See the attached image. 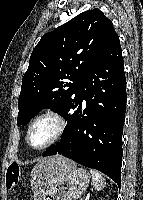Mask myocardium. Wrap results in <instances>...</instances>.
<instances>
[{"mask_svg":"<svg viewBox=\"0 0 143 200\" xmlns=\"http://www.w3.org/2000/svg\"><path fill=\"white\" fill-rule=\"evenodd\" d=\"M43 119H51L53 121H55V123L57 124V130L56 133L54 134V136L45 144L39 146V147H34L30 144V133L31 130L33 128V126L39 122L40 120ZM67 129V119L65 118V116L60 113L59 111H55V110H49L46 112L41 113L40 115L36 116L28 125L27 127V131H26V136H25V140L27 145L34 149V150H44L46 148H49L50 146L56 144L57 142H59L62 137L64 136L65 132Z\"/></svg>","mask_w":143,"mask_h":200,"instance_id":"1","label":"myocardium"}]
</instances>
